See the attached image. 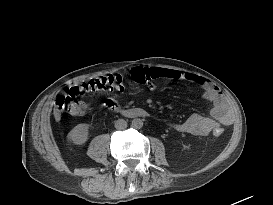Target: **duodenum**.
Masks as SVG:
<instances>
[{
	"instance_id": "410a0bca",
	"label": "duodenum",
	"mask_w": 273,
	"mask_h": 205,
	"mask_svg": "<svg viewBox=\"0 0 273 205\" xmlns=\"http://www.w3.org/2000/svg\"><path fill=\"white\" fill-rule=\"evenodd\" d=\"M108 105V108L111 110H117L119 112H121L124 115L127 116H142L144 115L141 111H131L128 108H125L121 105H118L116 102L114 101H107L106 103Z\"/></svg>"
}]
</instances>
